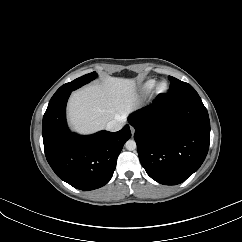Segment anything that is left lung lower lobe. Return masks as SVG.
Returning <instances> with one entry per match:
<instances>
[{
  "instance_id": "1",
  "label": "left lung lower lobe",
  "mask_w": 242,
  "mask_h": 242,
  "mask_svg": "<svg viewBox=\"0 0 242 242\" xmlns=\"http://www.w3.org/2000/svg\"><path fill=\"white\" fill-rule=\"evenodd\" d=\"M140 162L147 174L165 185L185 181L203 163L209 149L210 121L196 94H160L131 114Z\"/></svg>"
}]
</instances>
